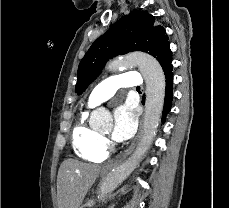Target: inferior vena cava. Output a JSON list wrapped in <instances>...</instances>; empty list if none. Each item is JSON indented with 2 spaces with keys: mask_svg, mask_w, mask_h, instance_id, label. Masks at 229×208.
I'll return each mask as SVG.
<instances>
[{
  "mask_svg": "<svg viewBox=\"0 0 229 208\" xmlns=\"http://www.w3.org/2000/svg\"><path fill=\"white\" fill-rule=\"evenodd\" d=\"M144 130H145V134H147L148 130H151L150 126H146L145 120H144Z\"/></svg>",
  "mask_w": 229,
  "mask_h": 208,
  "instance_id": "obj_1",
  "label": "inferior vena cava"
}]
</instances>
